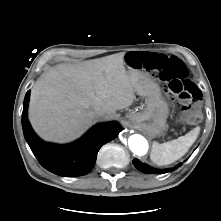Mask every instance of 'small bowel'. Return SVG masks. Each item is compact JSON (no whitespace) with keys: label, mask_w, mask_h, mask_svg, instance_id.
Instances as JSON below:
<instances>
[{"label":"small bowel","mask_w":221,"mask_h":221,"mask_svg":"<svg viewBox=\"0 0 221 221\" xmlns=\"http://www.w3.org/2000/svg\"><path fill=\"white\" fill-rule=\"evenodd\" d=\"M139 56H142L143 54H138Z\"/></svg>","instance_id":"obj_1"}]
</instances>
